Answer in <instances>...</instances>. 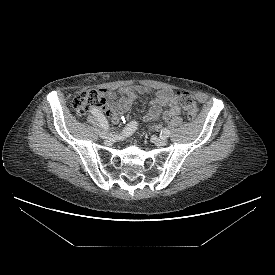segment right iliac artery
I'll return each instance as SVG.
<instances>
[{"label":"right iliac artery","mask_w":275,"mask_h":275,"mask_svg":"<svg viewBox=\"0 0 275 275\" xmlns=\"http://www.w3.org/2000/svg\"><path fill=\"white\" fill-rule=\"evenodd\" d=\"M91 113L97 118V120L100 123V126L107 131L109 129L108 122L105 118V116L97 109H92ZM138 123L136 121L130 122L123 130L122 135L123 136H129L131 135L136 129H137Z\"/></svg>","instance_id":"1"}]
</instances>
